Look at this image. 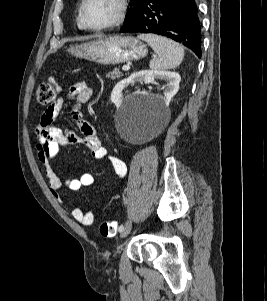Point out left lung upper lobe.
Wrapping results in <instances>:
<instances>
[{"instance_id": "1", "label": "left lung upper lobe", "mask_w": 267, "mask_h": 301, "mask_svg": "<svg viewBox=\"0 0 267 301\" xmlns=\"http://www.w3.org/2000/svg\"><path fill=\"white\" fill-rule=\"evenodd\" d=\"M145 0H130V8L126 14V24L131 23L137 17L140 9L142 8Z\"/></svg>"}]
</instances>
